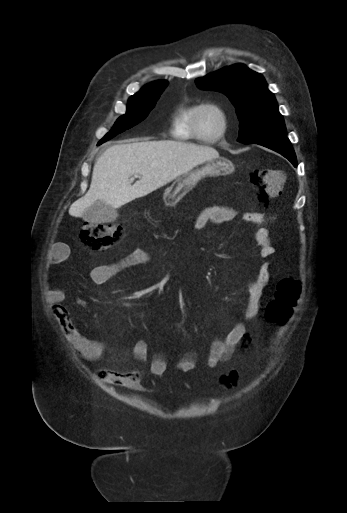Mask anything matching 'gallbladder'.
Here are the masks:
<instances>
[{
	"mask_svg": "<svg viewBox=\"0 0 347 513\" xmlns=\"http://www.w3.org/2000/svg\"><path fill=\"white\" fill-rule=\"evenodd\" d=\"M117 217V210L102 201H96L82 214V218L91 224L111 223Z\"/></svg>",
	"mask_w": 347,
	"mask_h": 513,
	"instance_id": "1",
	"label": "gallbladder"
}]
</instances>
